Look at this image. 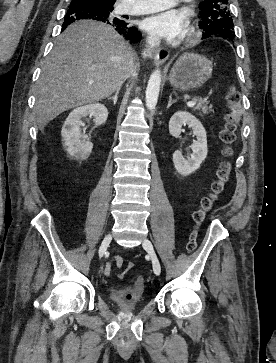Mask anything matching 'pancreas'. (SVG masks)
<instances>
[{
	"label": "pancreas",
	"mask_w": 276,
	"mask_h": 363,
	"mask_svg": "<svg viewBox=\"0 0 276 363\" xmlns=\"http://www.w3.org/2000/svg\"><path fill=\"white\" fill-rule=\"evenodd\" d=\"M196 106L193 108L194 111L198 110L201 114L206 115L212 111V107L208 106L209 101L207 99L195 98Z\"/></svg>",
	"instance_id": "1"
}]
</instances>
